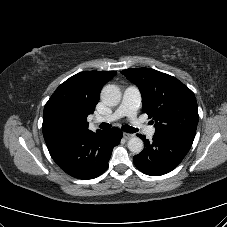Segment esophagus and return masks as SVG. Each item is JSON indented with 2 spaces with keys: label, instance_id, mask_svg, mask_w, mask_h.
I'll use <instances>...</instances> for the list:
<instances>
[{
  "label": "esophagus",
  "instance_id": "34e87169",
  "mask_svg": "<svg viewBox=\"0 0 227 227\" xmlns=\"http://www.w3.org/2000/svg\"><path fill=\"white\" fill-rule=\"evenodd\" d=\"M123 137H124L125 139H130V138L134 137V134L124 132V133H123Z\"/></svg>",
  "mask_w": 227,
  "mask_h": 227
}]
</instances>
